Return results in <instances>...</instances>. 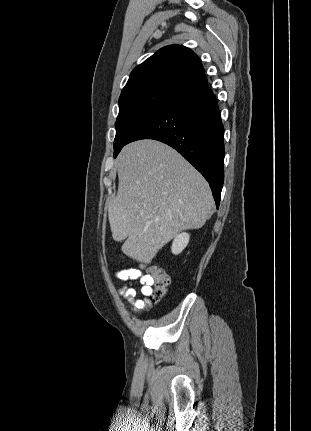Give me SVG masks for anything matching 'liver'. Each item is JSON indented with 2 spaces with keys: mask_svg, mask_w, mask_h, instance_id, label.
<instances>
[{
  "mask_svg": "<svg viewBox=\"0 0 311 431\" xmlns=\"http://www.w3.org/2000/svg\"><path fill=\"white\" fill-rule=\"evenodd\" d=\"M118 192L108 206L112 237L128 257L151 263L183 229H198L211 217V190L176 150L155 140L125 146L117 160Z\"/></svg>",
  "mask_w": 311,
  "mask_h": 431,
  "instance_id": "obj_1",
  "label": "liver"
}]
</instances>
